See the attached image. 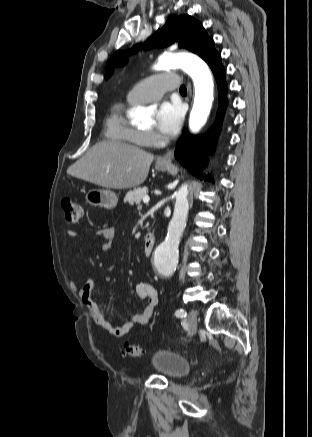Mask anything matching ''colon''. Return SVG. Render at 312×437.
Wrapping results in <instances>:
<instances>
[{"instance_id":"1","label":"colon","mask_w":312,"mask_h":437,"mask_svg":"<svg viewBox=\"0 0 312 437\" xmlns=\"http://www.w3.org/2000/svg\"><path fill=\"white\" fill-rule=\"evenodd\" d=\"M62 209L64 218L69 224L78 223L84 214L83 206L80 203L68 198L62 201ZM124 354L129 357H138L142 354V350L139 345L128 344L124 348Z\"/></svg>"}]
</instances>
